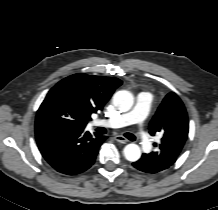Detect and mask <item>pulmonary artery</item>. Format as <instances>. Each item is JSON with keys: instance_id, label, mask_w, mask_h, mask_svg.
<instances>
[{"instance_id": "obj_1", "label": "pulmonary artery", "mask_w": 218, "mask_h": 210, "mask_svg": "<svg viewBox=\"0 0 218 210\" xmlns=\"http://www.w3.org/2000/svg\"><path fill=\"white\" fill-rule=\"evenodd\" d=\"M152 102H153L152 94L146 90L142 91L138 95V101L133 110L106 120L98 119L95 121V124L104 125L111 128H119L131 124L140 125L147 117ZM136 135L140 140L142 149L144 151H150L152 149V142L150 140L149 135L141 128L137 129Z\"/></svg>"}]
</instances>
